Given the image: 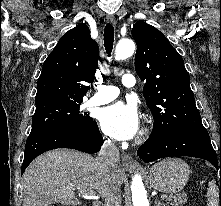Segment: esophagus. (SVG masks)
<instances>
[{"label":"esophagus","instance_id":"1","mask_svg":"<svg viewBox=\"0 0 221 206\" xmlns=\"http://www.w3.org/2000/svg\"><path fill=\"white\" fill-rule=\"evenodd\" d=\"M107 21L113 24L116 23L114 16H107ZM122 161L126 170H133L139 166V164L128 154L123 155Z\"/></svg>","mask_w":221,"mask_h":206}]
</instances>
